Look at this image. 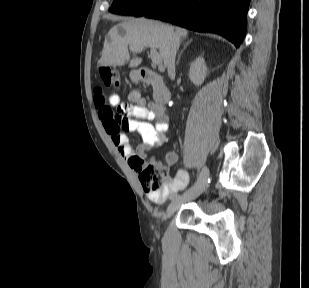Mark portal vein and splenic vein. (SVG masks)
I'll list each match as a JSON object with an SVG mask.
<instances>
[{
  "label": "portal vein and splenic vein",
  "mask_w": 309,
  "mask_h": 288,
  "mask_svg": "<svg viewBox=\"0 0 309 288\" xmlns=\"http://www.w3.org/2000/svg\"><path fill=\"white\" fill-rule=\"evenodd\" d=\"M133 52H141L143 50V47H132L130 48ZM150 56H151V60H152V63L155 64V65H161L162 64V58L161 56L156 52L155 49H151V52H150Z\"/></svg>",
  "instance_id": "obj_1"
}]
</instances>
